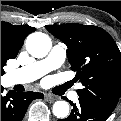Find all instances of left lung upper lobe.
I'll return each instance as SVG.
<instances>
[{"mask_svg": "<svg viewBox=\"0 0 121 121\" xmlns=\"http://www.w3.org/2000/svg\"><path fill=\"white\" fill-rule=\"evenodd\" d=\"M68 49L71 69L83 84L79 98L112 113L121 92V53L102 28L76 23L46 26Z\"/></svg>", "mask_w": 121, "mask_h": 121, "instance_id": "5c2ea615", "label": "left lung upper lobe"}]
</instances>
